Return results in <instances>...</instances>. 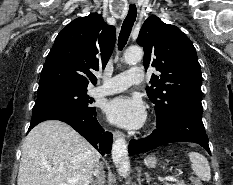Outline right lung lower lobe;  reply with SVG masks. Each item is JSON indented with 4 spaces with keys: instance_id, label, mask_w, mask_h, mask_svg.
I'll return each mask as SVG.
<instances>
[{
    "instance_id": "98d812e1",
    "label": "right lung lower lobe",
    "mask_w": 233,
    "mask_h": 185,
    "mask_svg": "<svg viewBox=\"0 0 233 185\" xmlns=\"http://www.w3.org/2000/svg\"><path fill=\"white\" fill-rule=\"evenodd\" d=\"M51 119L60 120L69 124L86 138L102 155L111 152L112 134L110 132H104V129L99 125L96 119V111L86 112L71 107L56 105L34 106L28 132L40 122Z\"/></svg>"
}]
</instances>
